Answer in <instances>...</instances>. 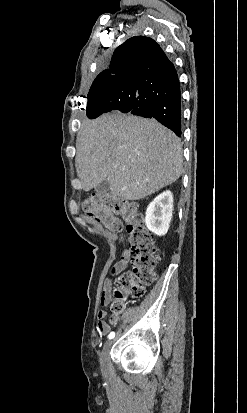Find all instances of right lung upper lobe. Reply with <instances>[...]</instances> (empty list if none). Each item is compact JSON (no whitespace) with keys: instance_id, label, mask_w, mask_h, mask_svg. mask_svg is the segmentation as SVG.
<instances>
[{"instance_id":"1","label":"right lung upper lobe","mask_w":247,"mask_h":413,"mask_svg":"<svg viewBox=\"0 0 247 413\" xmlns=\"http://www.w3.org/2000/svg\"><path fill=\"white\" fill-rule=\"evenodd\" d=\"M169 63L170 60L153 39L136 36L114 51L110 68L102 71L95 80L121 82L135 72L160 71Z\"/></svg>"}]
</instances>
